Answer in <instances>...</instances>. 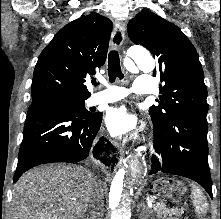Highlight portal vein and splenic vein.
Here are the masks:
<instances>
[{
  "label": "portal vein and splenic vein",
  "mask_w": 221,
  "mask_h": 219,
  "mask_svg": "<svg viewBox=\"0 0 221 219\" xmlns=\"http://www.w3.org/2000/svg\"><path fill=\"white\" fill-rule=\"evenodd\" d=\"M149 207H150V208H152V207H153V205H152V204H150V205H149Z\"/></svg>",
  "instance_id": "obj_1"
}]
</instances>
